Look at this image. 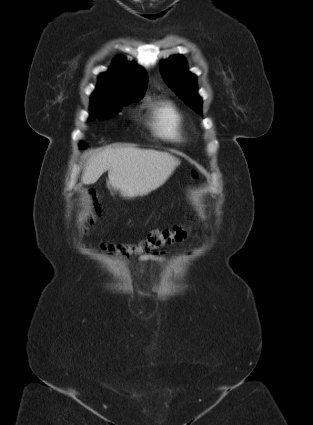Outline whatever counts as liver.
I'll return each instance as SVG.
<instances>
[{
	"label": "liver",
	"instance_id": "6515ba94",
	"mask_svg": "<svg viewBox=\"0 0 313 425\" xmlns=\"http://www.w3.org/2000/svg\"><path fill=\"white\" fill-rule=\"evenodd\" d=\"M180 160L167 152L135 147H108L92 155L82 174L84 184H94L108 171L107 186L122 197L144 196L162 186Z\"/></svg>",
	"mask_w": 313,
	"mask_h": 425
}]
</instances>
